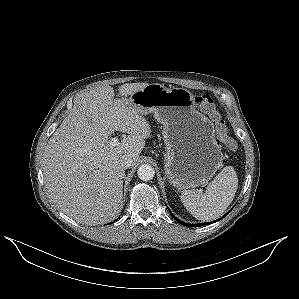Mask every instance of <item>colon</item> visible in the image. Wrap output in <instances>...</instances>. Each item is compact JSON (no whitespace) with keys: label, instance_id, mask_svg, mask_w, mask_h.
Here are the masks:
<instances>
[{"label":"colon","instance_id":"obj_1","mask_svg":"<svg viewBox=\"0 0 299 299\" xmlns=\"http://www.w3.org/2000/svg\"><path fill=\"white\" fill-rule=\"evenodd\" d=\"M195 102L213 121L218 137L228 148H235V143L228 135L227 127L222 119L221 113L216 107L214 98L208 93H202L195 96Z\"/></svg>","mask_w":299,"mask_h":299}]
</instances>
